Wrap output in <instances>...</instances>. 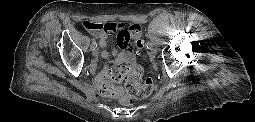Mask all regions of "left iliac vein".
Segmentation results:
<instances>
[{
    "label": "left iliac vein",
    "mask_w": 255,
    "mask_h": 122,
    "mask_svg": "<svg viewBox=\"0 0 255 122\" xmlns=\"http://www.w3.org/2000/svg\"><path fill=\"white\" fill-rule=\"evenodd\" d=\"M157 52L154 49H150L149 56L154 58L156 56Z\"/></svg>",
    "instance_id": "left-iliac-vein-1"
}]
</instances>
